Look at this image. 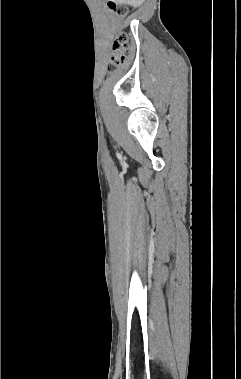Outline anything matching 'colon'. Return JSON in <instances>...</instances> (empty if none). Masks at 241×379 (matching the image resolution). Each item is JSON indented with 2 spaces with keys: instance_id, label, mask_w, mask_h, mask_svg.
I'll use <instances>...</instances> for the list:
<instances>
[{
  "instance_id": "obj_1",
  "label": "colon",
  "mask_w": 241,
  "mask_h": 379,
  "mask_svg": "<svg viewBox=\"0 0 241 379\" xmlns=\"http://www.w3.org/2000/svg\"><path fill=\"white\" fill-rule=\"evenodd\" d=\"M109 7L112 11H116L121 14L123 11L118 9L115 3H110ZM129 36L126 33L119 34L113 42L111 57L108 62V69L110 71H116L123 67L126 63L128 52Z\"/></svg>"
}]
</instances>
